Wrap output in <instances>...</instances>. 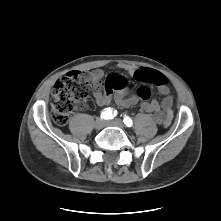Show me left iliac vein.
Segmentation results:
<instances>
[{
  "label": "left iliac vein",
  "instance_id": "4c4485c4",
  "mask_svg": "<svg viewBox=\"0 0 221 221\" xmlns=\"http://www.w3.org/2000/svg\"><path fill=\"white\" fill-rule=\"evenodd\" d=\"M107 126H117L123 128V122L120 119H114L106 122Z\"/></svg>",
  "mask_w": 221,
  "mask_h": 221
}]
</instances>
